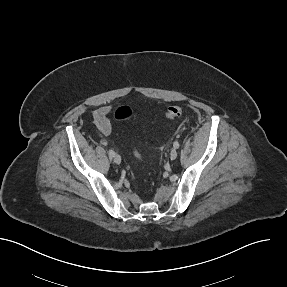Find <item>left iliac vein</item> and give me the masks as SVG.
Returning a JSON list of instances; mask_svg holds the SVG:
<instances>
[{
  "label": "left iliac vein",
  "instance_id": "left-iliac-vein-1",
  "mask_svg": "<svg viewBox=\"0 0 287 287\" xmlns=\"http://www.w3.org/2000/svg\"><path fill=\"white\" fill-rule=\"evenodd\" d=\"M177 156H178V152H177L176 148H173L170 152L171 160H175L177 158Z\"/></svg>",
  "mask_w": 287,
  "mask_h": 287
}]
</instances>
